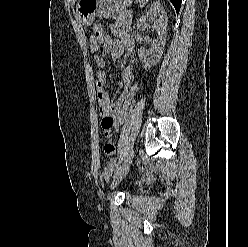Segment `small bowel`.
Segmentation results:
<instances>
[{
	"label": "small bowel",
	"instance_id": "obj_1",
	"mask_svg": "<svg viewBox=\"0 0 248 247\" xmlns=\"http://www.w3.org/2000/svg\"><path fill=\"white\" fill-rule=\"evenodd\" d=\"M114 36L105 35L90 38V51L97 64L96 75V90L99 102V113L101 116V131L106 138L104 152L106 157V171H109L115 162L114 154L116 146L113 141L112 128L115 124V119L121 109L122 103L128 93V88L134 82V65L130 61L121 72V81L123 91L119 98L112 102L110 95L106 89L107 75L105 71V56L110 53L111 59L116 61L121 58L125 51L129 52L132 58L131 51L134 47V39L132 35L126 31L112 27Z\"/></svg>",
	"mask_w": 248,
	"mask_h": 247
}]
</instances>
